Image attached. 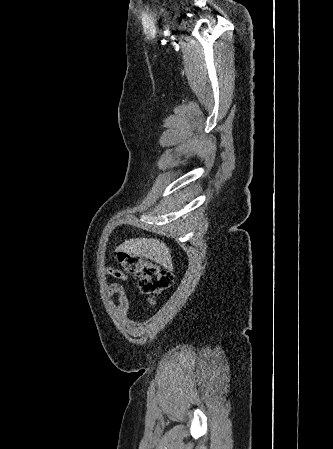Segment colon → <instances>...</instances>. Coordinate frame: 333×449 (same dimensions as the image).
Instances as JSON below:
<instances>
[{
    "label": "colon",
    "instance_id": "colon-1",
    "mask_svg": "<svg viewBox=\"0 0 333 449\" xmlns=\"http://www.w3.org/2000/svg\"><path fill=\"white\" fill-rule=\"evenodd\" d=\"M114 259L125 271L138 278V288L145 295H158L174 282L171 271L141 255L118 251Z\"/></svg>",
    "mask_w": 333,
    "mask_h": 449
}]
</instances>
